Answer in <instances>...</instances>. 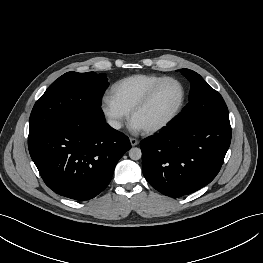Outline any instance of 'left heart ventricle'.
I'll return each mask as SVG.
<instances>
[{
  "label": "left heart ventricle",
  "instance_id": "left-heart-ventricle-1",
  "mask_svg": "<svg viewBox=\"0 0 263 263\" xmlns=\"http://www.w3.org/2000/svg\"><path fill=\"white\" fill-rule=\"evenodd\" d=\"M182 90L178 83L167 81L155 92L150 103L133 118L141 129L151 127L167 119L178 107Z\"/></svg>",
  "mask_w": 263,
  "mask_h": 263
}]
</instances>
